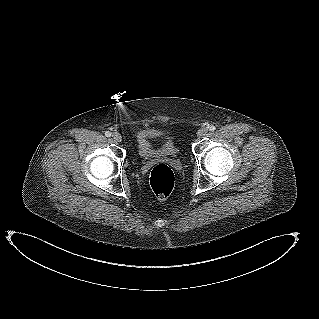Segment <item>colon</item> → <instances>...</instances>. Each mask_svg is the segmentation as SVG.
Returning <instances> with one entry per match:
<instances>
[{"mask_svg":"<svg viewBox=\"0 0 319 319\" xmlns=\"http://www.w3.org/2000/svg\"><path fill=\"white\" fill-rule=\"evenodd\" d=\"M174 183V172L166 164H158L151 170L150 186L158 198H167L174 188Z\"/></svg>","mask_w":319,"mask_h":319,"instance_id":"obj_1","label":"colon"}]
</instances>
